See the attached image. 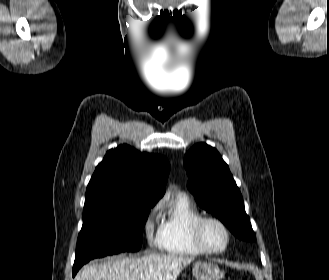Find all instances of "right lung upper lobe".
Here are the masks:
<instances>
[{"label": "right lung upper lobe", "instance_id": "obj_1", "mask_svg": "<svg viewBox=\"0 0 329 280\" xmlns=\"http://www.w3.org/2000/svg\"><path fill=\"white\" fill-rule=\"evenodd\" d=\"M169 171L170 164L164 156L141 153L127 144L111 149L87 186L84 211L119 198L160 199Z\"/></svg>", "mask_w": 329, "mask_h": 280}]
</instances>
